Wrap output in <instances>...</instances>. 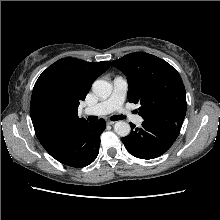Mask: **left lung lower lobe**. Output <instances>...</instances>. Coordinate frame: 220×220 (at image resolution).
<instances>
[{"label":"left lung lower lobe","mask_w":220,"mask_h":220,"mask_svg":"<svg viewBox=\"0 0 220 220\" xmlns=\"http://www.w3.org/2000/svg\"><path fill=\"white\" fill-rule=\"evenodd\" d=\"M183 121L156 117L144 119L141 128L131 125V133L122 138L130 154L141 159H153L164 154L179 135Z\"/></svg>","instance_id":"0a47b994"}]
</instances>
